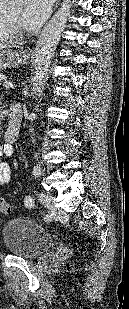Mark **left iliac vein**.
Returning a JSON list of instances; mask_svg holds the SVG:
<instances>
[{
    "label": "left iliac vein",
    "instance_id": "1",
    "mask_svg": "<svg viewBox=\"0 0 129 309\" xmlns=\"http://www.w3.org/2000/svg\"><path fill=\"white\" fill-rule=\"evenodd\" d=\"M38 198L44 207L47 208L50 217L56 218L60 212L52 204L53 197L46 193H40Z\"/></svg>",
    "mask_w": 129,
    "mask_h": 309
}]
</instances>
